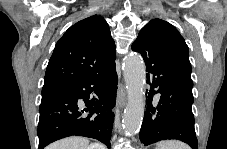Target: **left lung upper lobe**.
I'll return each instance as SVG.
<instances>
[{
  "label": "left lung upper lobe",
  "mask_w": 227,
  "mask_h": 149,
  "mask_svg": "<svg viewBox=\"0 0 227 149\" xmlns=\"http://www.w3.org/2000/svg\"><path fill=\"white\" fill-rule=\"evenodd\" d=\"M144 29L149 31L155 42L170 59L191 77L188 46L178 30L161 19L151 20L142 28V30Z\"/></svg>",
  "instance_id": "1"
}]
</instances>
